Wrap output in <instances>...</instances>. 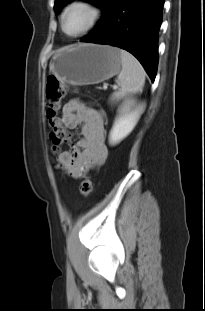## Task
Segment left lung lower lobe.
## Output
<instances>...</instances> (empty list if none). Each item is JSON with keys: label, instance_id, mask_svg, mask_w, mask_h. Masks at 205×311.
Returning a JSON list of instances; mask_svg holds the SVG:
<instances>
[{"label": "left lung lower lobe", "instance_id": "0a47b994", "mask_svg": "<svg viewBox=\"0 0 205 311\" xmlns=\"http://www.w3.org/2000/svg\"><path fill=\"white\" fill-rule=\"evenodd\" d=\"M163 5L164 0H115L109 13L80 41L127 50L140 61L153 82Z\"/></svg>", "mask_w": 205, "mask_h": 311}]
</instances>
